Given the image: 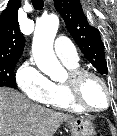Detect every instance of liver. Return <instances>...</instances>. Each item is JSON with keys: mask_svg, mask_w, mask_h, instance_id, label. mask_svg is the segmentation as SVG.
<instances>
[{"mask_svg": "<svg viewBox=\"0 0 117 136\" xmlns=\"http://www.w3.org/2000/svg\"><path fill=\"white\" fill-rule=\"evenodd\" d=\"M71 115L31 102L15 89L0 87V136H53Z\"/></svg>", "mask_w": 117, "mask_h": 136, "instance_id": "obj_1", "label": "liver"}]
</instances>
